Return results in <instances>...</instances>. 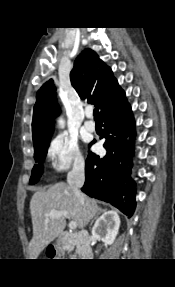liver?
Masks as SVG:
<instances>
[{
	"label": "liver",
	"instance_id": "6515ba94",
	"mask_svg": "<svg viewBox=\"0 0 175 287\" xmlns=\"http://www.w3.org/2000/svg\"><path fill=\"white\" fill-rule=\"evenodd\" d=\"M83 197L84 204L75 195L72 187L63 182L50 186L46 191L33 194L30 201L33 225V237L29 243L30 259H37L42 250L58 237L66 226L63 216L49 218V222L45 223L51 211H67L69 218L76 222L79 229H83L101 211L95 200Z\"/></svg>",
	"mask_w": 175,
	"mask_h": 287
}]
</instances>
